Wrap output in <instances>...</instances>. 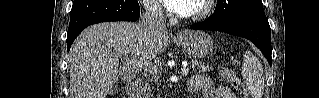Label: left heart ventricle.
<instances>
[{
  "label": "left heart ventricle",
  "mask_w": 319,
  "mask_h": 98,
  "mask_svg": "<svg viewBox=\"0 0 319 98\" xmlns=\"http://www.w3.org/2000/svg\"><path fill=\"white\" fill-rule=\"evenodd\" d=\"M199 6V1H192L191 8L189 12L195 11Z\"/></svg>",
  "instance_id": "left-heart-ventricle-1"
}]
</instances>
